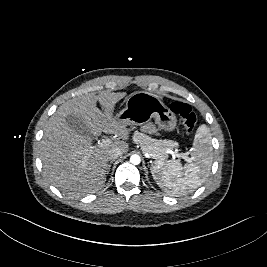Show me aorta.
<instances>
[{"label": "aorta", "mask_w": 267, "mask_h": 267, "mask_svg": "<svg viewBox=\"0 0 267 267\" xmlns=\"http://www.w3.org/2000/svg\"><path fill=\"white\" fill-rule=\"evenodd\" d=\"M130 162L134 165H138L141 162V158L139 155L134 154L130 157Z\"/></svg>", "instance_id": "762f6f07"}]
</instances>
